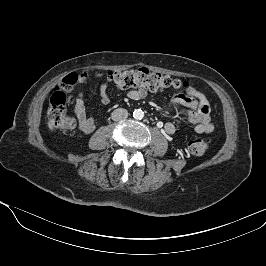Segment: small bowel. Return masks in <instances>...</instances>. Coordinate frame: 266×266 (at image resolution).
<instances>
[{"label": "small bowel", "mask_w": 266, "mask_h": 266, "mask_svg": "<svg viewBox=\"0 0 266 266\" xmlns=\"http://www.w3.org/2000/svg\"><path fill=\"white\" fill-rule=\"evenodd\" d=\"M147 94L146 89L138 88L131 90L128 96L132 100H142L147 97ZM100 100L104 105L110 102L105 82L100 85ZM171 102L178 115L194 124L195 132L202 134L214 131L215 127L211 121L209 103L206 97L194 87L188 85L184 92L176 94ZM74 113L81 132L89 134L96 129L97 122L94 118L88 116L82 93H79L76 99ZM164 131L169 135L173 134L175 132L174 124L171 122L165 123Z\"/></svg>", "instance_id": "c3829d8e"}]
</instances>
